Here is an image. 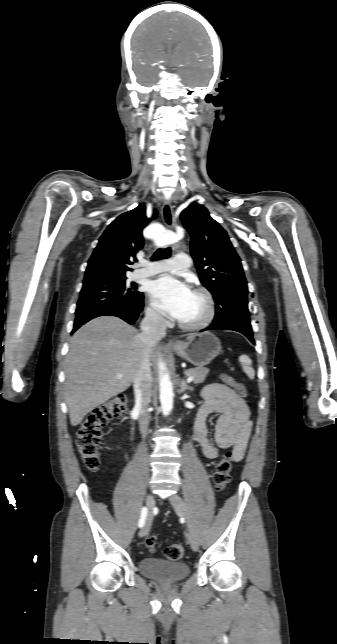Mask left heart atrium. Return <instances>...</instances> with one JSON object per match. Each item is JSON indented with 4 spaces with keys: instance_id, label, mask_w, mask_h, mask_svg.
Instances as JSON below:
<instances>
[{
    "instance_id": "39dd6f15",
    "label": "left heart atrium",
    "mask_w": 337,
    "mask_h": 644,
    "mask_svg": "<svg viewBox=\"0 0 337 644\" xmlns=\"http://www.w3.org/2000/svg\"><path fill=\"white\" fill-rule=\"evenodd\" d=\"M153 305L163 314L180 319L192 295L191 289L183 282L162 276L154 280L149 288Z\"/></svg>"
}]
</instances>
